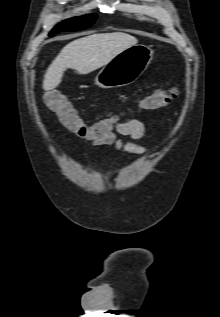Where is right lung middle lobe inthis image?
<instances>
[{"label": "right lung middle lobe", "mask_w": 220, "mask_h": 317, "mask_svg": "<svg viewBox=\"0 0 220 317\" xmlns=\"http://www.w3.org/2000/svg\"><path fill=\"white\" fill-rule=\"evenodd\" d=\"M95 20V14H89L64 20L53 28L49 36H54L56 33L63 31L73 32L86 29L90 27L95 22Z\"/></svg>", "instance_id": "right-lung-middle-lobe-1"}]
</instances>
